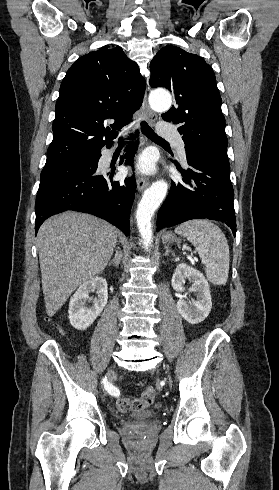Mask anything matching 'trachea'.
I'll return each instance as SVG.
<instances>
[{
	"mask_svg": "<svg viewBox=\"0 0 279 490\" xmlns=\"http://www.w3.org/2000/svg\"><path fill=\"white\" fill-rule=\"evenodd\" d=\"M141 131L144 135H146V137L150 138V140L156 142V143H166L168 144V142H166V140H164L163 138L159 137L153 130L151 127H149V125L146 123V122H141ZM119 141H123V138H120Z\"/></svg>",
	"mask_w": 279,
	"mask_h": 490,
	"instance_id": "3493384b",
	"label": "trachea"
}]
</instances>
